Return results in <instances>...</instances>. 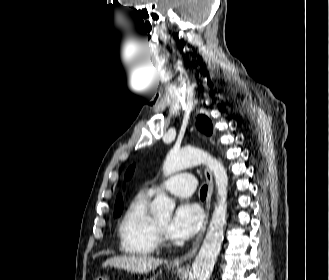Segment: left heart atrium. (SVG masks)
Segmentation results:
<instances>
[{
	"instance_id": "39dd6f15",
	"label": "left heart atrium",
	"mask_w": 329,
	"mask_h": 280,
	"mask_svg": "<svg viewBox=\"0 0 329 280\" xmlns=\"http://www.w3.org/2000/svg\"><path fill=\"white\" fill-rule=\"evenodd\" d=\"M203 222L201 209L193 203L182 202L167 225L168 235L175 240H185L198 232Z\"/></svg>"
}]
</instances>
